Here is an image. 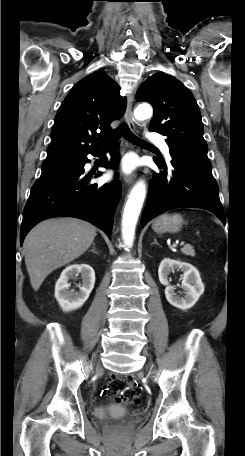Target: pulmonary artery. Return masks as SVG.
<instances>
[{
	"label": "pulmonary artery",
	"instance_id": "e3ab8cb5",
	"mask_svg": "<svg viewBox=\"0 0 245 456\" xmlns=\"http://www.w3.org/2000/svg\"><path fill=\"white\" fill-rule=\"evenodd\" d=\"M147 138H148V140L157 143L160 146V148L162 149V151L164 152V154L167 157H169V147L160 134L155 133V132H150L147 134Z\"/></svg>",
	"mask_w": 245,
	"mask_h": 456
}]
</instances>
